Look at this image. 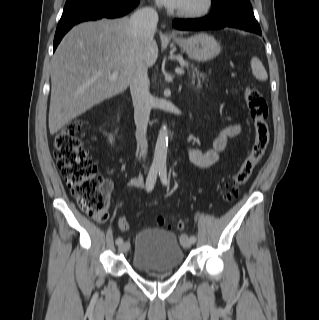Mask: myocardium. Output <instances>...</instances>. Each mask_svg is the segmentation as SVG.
Segmentation results:
<instances>
[{
  "label": "myocardium",
  "instance_id": "f54148a6",
  "mask_svg": "<svg viewBox=\"0 0 319 320\" xmlns=\"http://www.w3.org/2000/svg\"><path fill=\"white\" fill-rule=\"evenodd\" d=\"M214 6V0H199L191 9H180L177 15L184 18H198L207 15Z\"/></svg>",
  "mask_w": 319,
  "mask_h": 320
}]
</instances>
